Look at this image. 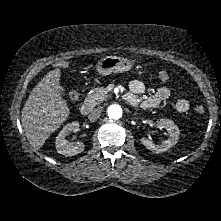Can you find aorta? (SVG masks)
<instances>
[{"label": "aorta", "instance_id": "762f6f07", "mask_svg": "<svg viewBox=\"0 0 221 221\" xmlns=\"http://www.w3.org/2000/svg\"><path fill=\"white\" fill-rule=\"evenodd\" d=\"M109 118L118 120L123 115V110L118 104H111L107 109Z\"/></svg>", "mask_w": 221, "mask_h": 221}]
</instances>
